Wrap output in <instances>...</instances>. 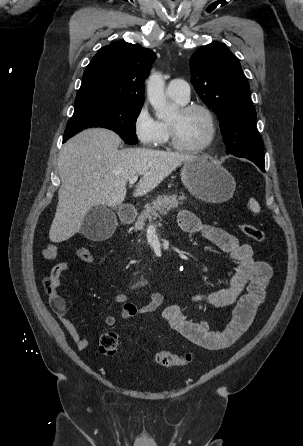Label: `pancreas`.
I'll list each match as a JSON object with an SVG mask.
<instances>
[{
    "label": "pancreas",
    "instance_id": "1",
    "mask_svg": "<svg viewBox=\"0 0 303 446\" xmlns=\"http://www.w3.org/2000/svg\"><path fill=\"white\" fill-rule=\"evenodd\" d=\"M186 199L184 194L181 196L173 195H163L158 196L151 204H147L141 215L137 218L134 229L144 230L147 222L151 223L161 215H166L169 211L178 207Z\"/></svg>",
    "mask_w": 303,
    "mask_h": 446
}]
</instances>
